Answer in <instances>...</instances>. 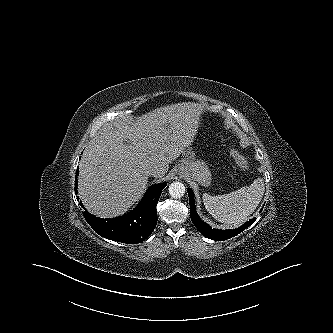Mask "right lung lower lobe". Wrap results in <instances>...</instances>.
<instances>
[{
	"label": "right lung lower lobe",
	"mask_w": 333,
	"mask_h": 333,
	"mask_svg": "<svg viewBox=\"0 0 333 333\" xmlns=\"http://www.w3.org/2000/svg\"><path fill=\"white\" fill-rule=\"evenodd\" d=\"M78 175L77 169L75 185H77ZM166 185V183H160L149 187L138 206L121 217L103 219L89 214L86 209L83 215L92 229L104 238L128 244L140 243L153 232L157 225L156 205ZM75 192H77L76 188ZM80 205L83 207L81 202Z\"/></svg>",
	"instance_id": "1"
}]
</instances>
